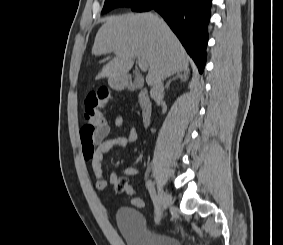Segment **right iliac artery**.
<instances>
[{
	"instance_id": "82829eb1",
	"label": "right iliac artery",
	"mask_w": 283,
	"mask_h": 245,
	"mask_svg": "<svg viewBox=\"0 0 283 245\" xmlns=\"http://www.w3.org/2000/svg\"><path fill=\"white\" fill-rule=\"evenodd\" d=\"M146 187L150 193L151 199L153 201L155 207V222H159L161 219V201L160 198L157 196L154 184L151 180H148L146 183Z\"/></svg>"
}]
</instances>
